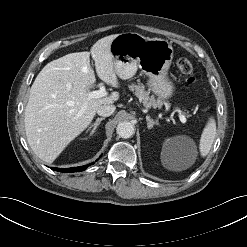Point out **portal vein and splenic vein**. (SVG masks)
<instances>
[{
  "mask_svg": "<svg viewBox=\"0 0 247 247\" xmlns=\"http://www.w3.org/2000/svg\"><path fill=\"white\" fill-rule=\"evenodd\" d=\"M87 95H88V98H102V97L107 96V92H106L105 87L103 85H101L99 90L88 92ZM177 112H178V117H179L180 121L183 124H185L187 121L185 116L180 111H177Z\"/></svg>",
  "mask_w": 247,
  "mask_h": 247,
  "instance_id": "obj_1",
  "label": "portal vein and splenic vein"
}]
</instances>
